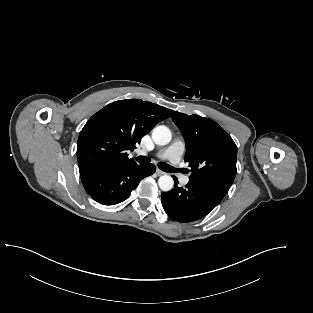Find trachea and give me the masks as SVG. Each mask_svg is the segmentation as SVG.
<instances>
[{
  "label": "trachea",
  "mask_w": 313,
  "mask_h": 313,
  "mask_svg": "<svg viewBox=\"0 0 313 313\" xmlns=\"http://www.w3.org/2000/svg\"><path fill=\"white\" fill-rule=\"evenodd\" d=\"M139 163L142 164H147L149 163L151 160L150 158L146 157V156H139L135 158ZM158 167L165 172H174L176 171V169H174L173 167H171L170 165H168L167 163L164 162H160L158 163Z\"/></svg>",
  "instance_id": "trachea-1"
}]
</instances>
